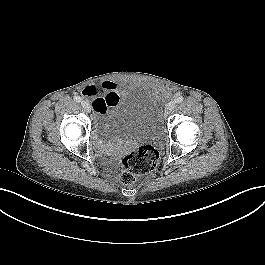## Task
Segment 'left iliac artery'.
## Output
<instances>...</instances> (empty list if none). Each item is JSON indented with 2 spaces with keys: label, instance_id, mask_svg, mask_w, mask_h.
<instances>
[{
  "label": "left iliac artery",
  "instance_id": "left-iliac-artery-1",
  "mask_svg": "<svg viewBox=\"0 0 265 265\" xmlns=\"http://www.w3.org/2000/svg\"><path fill=\"white\" fill-rule=\"evenodd\" d=\"M183 97L182 96H179V97H177L176 99H175V102L176 103H182L183 102Z\"/></svg>",
  "mask_w": 265,
  "mask_h": 265
}]
</instances>
